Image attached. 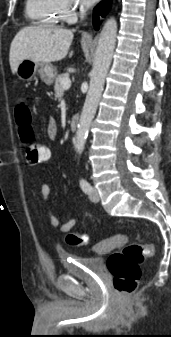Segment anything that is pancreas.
I'll return each instance as SVG.
<instances>
[{"mask_svg": "<svg viewBox=\"0 0 171 337\" xmlns=\"http://www.w3.org/2000/svg\"><path fill=\"white\" fill-rule=\"evenodd\" d=\"M65 77H69V74L63 73L56 78L54 90H55V96L57 98H61L64 94V89H63L61 82Z\"/></svg>", "mask_w": 171, "mask_h": 337, "instance_id": "1", "label": "pancreas"}]
</instances>
